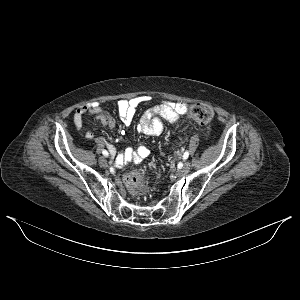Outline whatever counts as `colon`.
<instances>
[{
    "label": "colon",
    "instance_id": "5ec220e1",
    "mask_svg": "<svg viewBox=\"0 0 300 300\" xmlns=\"http://www.w3.org/2000/svg\"><path fill=\"white\" fill-rule=\"evenodd\" d=\"M190 117L201 125L208 124L213 118L212 109L204 103H195L191 107ZM125 186L135 194H144L147 191L146 178L137 172H130L125 176Z\"/></svg>",
    "mask_w": 300,
    "mask_h": 300
}]
</instances>
